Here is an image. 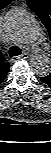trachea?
<instances>
[{
  "instance_id": "3493384b",
  "label": "trachea",
  "mask_w": 51,
  "mask_h": 153,
  "mask_svg": "<svg viewBox=\"0 0 51 153\" xmlns=\"http://www.w3.org/2000/svg\"><path fill=\"white\" fill-rule=\"evenodd\" d=\"M8 53H9V55H10L11 57H14V56H19V55H21L22 51H21V49H20L19 47H17V46H12V47H10Z\"/></svg>"
}]
</instances>
